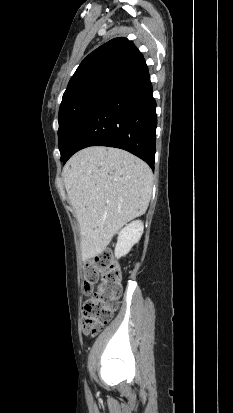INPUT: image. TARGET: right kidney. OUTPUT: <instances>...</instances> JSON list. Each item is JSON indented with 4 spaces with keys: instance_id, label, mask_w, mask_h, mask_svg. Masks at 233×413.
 <instances>
[{
    "instance_id": "1",
    "label": "right kidney",
    "mask_w": 233,
    "mask_h": 413,
    "mask_svg": "<svg viewBox=\"0 0 233 413\" xmlns=\"http://www.w3.org/2000/svg\"><path fill=\"white\" fill-rule=\"evenodd\" d=\"M143 230L144 226L140 220L133 221L120 230L115 246V257L120 258L129 253L131 248L139 242Z\"/></svg>"
}]
</instances>
